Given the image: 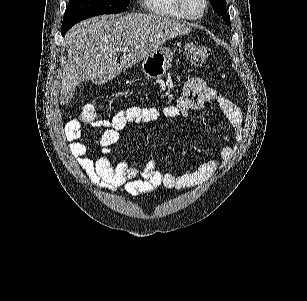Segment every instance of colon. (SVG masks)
I'll return each instance as SVG.
<instances>
[{
    "label": "colon",
    "mask_w": 307,
    "mask_h": 301,
    "mask_svg": "<svg viewBox=\"0 0 307 301\" xmlns=\"http://www.w3.org/2000/svg\"><path fill=\"white\" fill-rule=\"evenodd\" d=\"M211 54L209 46L199 42H193L186 47V56L190 63L194 65H202ZM98 117V110L93 105H87L80 114V121L83 124H93Z\"/></svg>",
    "instance_id": "colon-1"
}]
</instances>
